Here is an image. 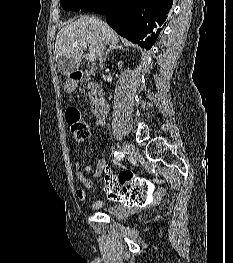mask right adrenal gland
Returning <instances> with one entry per match:
<instances>
[{"mask_svg":"<svg viewBox=\"0 0 233 263\" xmlns=\"http://www.w3.org/2000/svg\"><path fill=\"white\" fill-rule=\"evenodd\" d=\"M116 49L123 50V47L121 45H118V42H112L104 54V62L106 61L107 55L110 53V51L116 50Z\"/></svg>","mask_w":233,"mask_h":263,"instance_id":"2a0ac1e0","label":"right adrenal gland"}]
</instances>
